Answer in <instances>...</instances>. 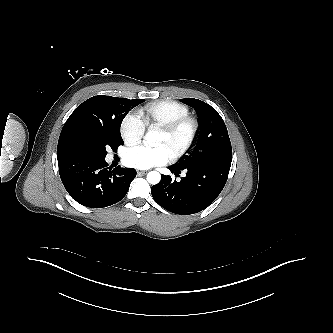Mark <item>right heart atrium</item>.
<instances>
[{"label":"right heart atrium","mask_w":333,"mask_h":333,"mask_svg":"<svg viewBox=\"0 0 333 333\" xmlns=\"http://www.w3.org/2000/svg\"><path fill=\"white\" fill-rule=\"evenodd\" d=\"M145 128L144 123L137 114L128 113L121 121L120 134L127 145H134L142 139Z\"/></svg>","instance_id":"d8ad5b80"}]
</instances>
